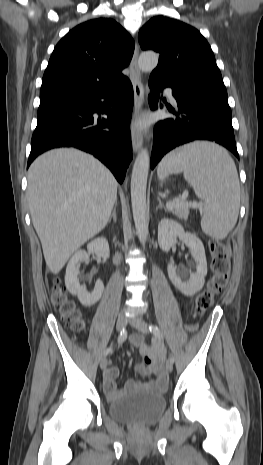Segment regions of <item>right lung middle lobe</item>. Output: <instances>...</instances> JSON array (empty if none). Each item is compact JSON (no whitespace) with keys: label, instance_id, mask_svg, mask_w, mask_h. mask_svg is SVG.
<instances>
[{"label":"right lung middle lobe","instance_id":"right-lung-middle-lobe-1","mask_svg":"<svg viewBox=\"0 0 263 465\" xmlns=\"http://www.w3.org/2000/svg\"><path fill=\"white\" fill-rule=\"evenodd\" d=\"M56 100H59V99L40 101V105H43V104H46V103H50V102H53V101H56Z\"/></svg>","mask_w":263,"mask_h":465}]
</instances>
